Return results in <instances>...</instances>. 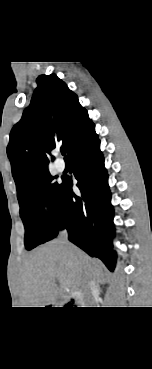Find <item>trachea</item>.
<instances>
[{
    "label": "trachea",
    "instance_id": "obj_1",
    "mask_svg": "<svg viewBox=\"0 0 152 369\" xmlns=\"http://www.w3.org/2000/svg\"><path fill=\"white\" fill-rule=\"evenodd\" d=\"M60 150H61L62 155L65 156V148L62 147ZM65 158H66V156H65Z\"/></svg>",
    "mask_w": 152,
    "mask_h": 369
}]
</instances>
